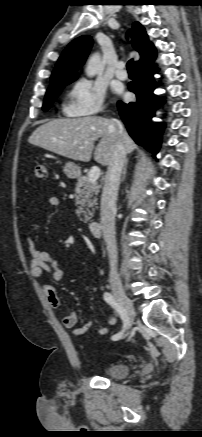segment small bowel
I'll return each instance as SVG.
<instances>
[{
  "label": "small bowel",
  "instance_id": "1",
  "mask_svg": "<svg viewBox=\"0 0 202 437\" xmlns=\"http://www.w3.org/2000/svg\"><path fill=\"white\" fill-rule=\"evenodd\" d=\"M59 203L60 201L57 197H50L48 199V204L51 207H58ZM27 245L31 255L30 273L32 277L40 279L45 272H49L55 282H60L63 277V271L59 268L57 261L49 253L37 248L33 239L28 238ZM42 289L49 303L55 308H60L61 301L56 289L49 284H43ZM61 321L65 327L74 328L78 322L77 313L74 311H63L61 313ZM107 323L109 325H114L116 323V317L114 314H109L107 316ZM91 325L92 322L88 320L81 327L74 328L73 334L76 336L82 335L90 329ZM98 332L100 335H106L108 333V327L102 326L99 328Z\"/></svg>",
  "mask_w": 202,
  "mask_h": 437
}]
</instances>
